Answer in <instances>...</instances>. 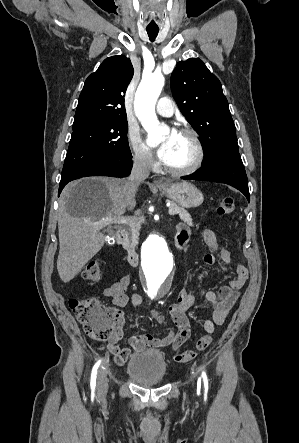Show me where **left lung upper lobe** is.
Returning <instances> with one entry per match:
<instances>
[{
    "label": "left lung upper lobe",
    "mask_w": 299,
    "mask_h": 443,
    "mask_svg": "<svg viewBox=\"0 0 299 443\" xmlns=\"http://www.w3.org/2000/svg\"><path fill=\"white\" fill-rule=\"evenodd\" d=\"M173 96L203 141L202 166L218 162L242 163L236 130L219 79L199 58L178 62L171 76Z\"/></svg>",
    "instance_id": "1"
}]
</instances>
